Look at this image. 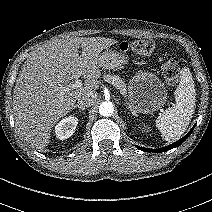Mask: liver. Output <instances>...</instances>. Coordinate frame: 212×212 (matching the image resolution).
<instances>
[{
    "mask_svg": "<svg viewBox=\"0 0 212 212\" xmlns=\"http://www.w3.org/2000/svg\"><path fill=\"white\" fill-rule=\"evenodd\" d=\"M116 42L105 37H62L29 54L13 94L16 126L26 141L39 148L48 145L52 128L73 109L78 96L99 87L100 53ZM81 76L85 79L81 88L61 89Z\"/></svg>",
    "mask_w": 212,
    "mask_h": 212,
    "instance_id": "1",
    "label": "liver"
}]
</instances>
